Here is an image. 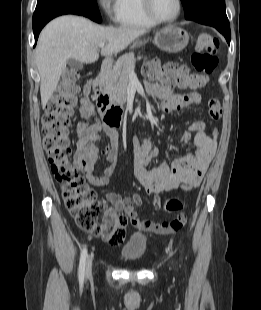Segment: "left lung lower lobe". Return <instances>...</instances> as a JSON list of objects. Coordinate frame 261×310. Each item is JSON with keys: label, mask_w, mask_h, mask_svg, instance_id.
I'll return each mask as SVG.
<instances>
[{"label": "left lung lower lobe", "mask_w": 261, "mask_h": 310, "mask_svg": "<svg viewBox=\"0 0 261 310\" xmlns=\"http://www.w3.org/2000/svg\"><path fill=\"white\" fill-rule=\"evenodd\" d=\"M201 24L209 25L217 29L221 34L224 35L228 44H230L231 32L229 21L222 22V21L206 20L201 22Z\"/></svg>", "instance_id": "1"}]
</instances>
